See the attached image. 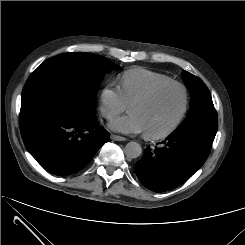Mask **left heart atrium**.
<instances>
[{
    "label": "left heart atrium",
    "mask_w": 245,
    "mask_h": 245,
    "mask_svg": "<svg viewBox=\"0 0 245 245\" xmlns=\"http://www.w3.org/2000/svg\"><path fill=\"white\" fill-rule=\"evenodd\" d=\"M109 127L121 133L145 132L141 119L135 113H129L110 122Z\"/></svg>",
    "instance_id": "obj_1"
}]
</instances>
